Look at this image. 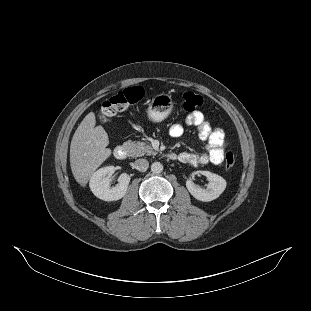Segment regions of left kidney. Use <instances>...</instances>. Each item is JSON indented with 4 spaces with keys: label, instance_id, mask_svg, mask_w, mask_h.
Listing matches in <instances>:
<instances>
[{
    "label": "left kidney",
    "instance_id": "left-kidney-1",
    "mask_svg": "<svg viewBox=\"0 0 311 311\" xmlns=\"http://www.w3.org/2000/svg\"><path fill=\"white\" fill-rule=\"evenodd\" d=\"M197 173V172H196ZM209 180L206 189L196 185L192 180L186 181V187L191 195L197 200L208 202L218 198L226 188V180L210 171H199Z\"/></svg>",
    "mask_w": 311,
    "mask_h": 311
}]
</instances>
